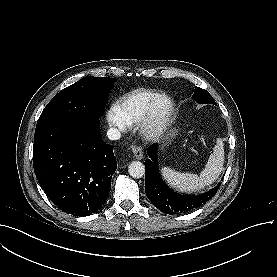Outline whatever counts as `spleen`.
Returning <instances> with one entry per match:
<instances>
[{
	"label": "spleen",
	"instance_id": "obj_1",
	"mask_svg": "<svg viewBox=\"0 0 277 277\" xmlns=\"http://www.w3.org/2000/svg\"><path fill=\"white\" fill-rule=\"evenodd\" d=\"M224 164V146L221 138L217 139L213 153L210 155L200 176L192 173H181L171 168H162V175L170 186L181 192H195L212 184L221 174Z\"/></svg>",
	"mask_w": 277,
	"mask_h": 277
}]
</instances>
